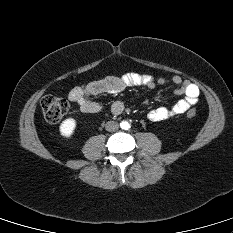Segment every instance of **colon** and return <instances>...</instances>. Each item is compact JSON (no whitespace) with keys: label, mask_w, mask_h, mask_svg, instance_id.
<instances>
[{"label":"colon","mask_w":233,"mask_h":233,"mask_svg":"<svg viewBox=\"0 0 233 233\" xmlns=\"http://www.w3.org/2000/svg\"><path fill=\"white\" fill-rule=\"evenodd\" d=\"M68 103L65 99L46 95L41 100V108L43 115L49 123L59 122L68 111ZM197 114L196 109H189L186 113L187 117L193 118Z\"/></svg>","instance_id":"5ec220e1"}]
</instances>
